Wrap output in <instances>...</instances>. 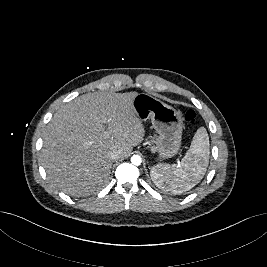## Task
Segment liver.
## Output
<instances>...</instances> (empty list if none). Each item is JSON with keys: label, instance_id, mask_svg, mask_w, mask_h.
Returning <instances> with one entry per match:
<instances>
[{"label": "liver", "instance_id": "obj_1", "mask_svg": "<svg viewBox=\"0 0 267 267\" xmlns=\"http://www.w3.org/2000/svg\"><path fill=\"white\" fill-rule=\"evenodd\" d=\"M136 92L89 93L53 115L43 136L42 165L49 180L71 196L108 184L113 150L128 157L145 136L132 107Z\"/></svg>", "mask_w": 267, "mask_h": 267}]
</instances>
